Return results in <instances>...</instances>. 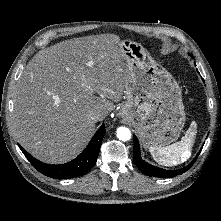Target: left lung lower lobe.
<instances>
[{"label": "left lung lower lobe", "instance_id": "left-lung-lower-lobe-1", "mask_svg": "<svg viewBox=\"0 0 221 221\" xmlns=\"http://www.w3.org/2000/svg\"><path fill=\"white\" fill-rule=\"evenodd\" d=\"M199 153L197 154L195 159L188 166H186L180 170H164V169L152 166L142 160V158L140 156L139 143H138L137 137L134 136V162H135L136 166L139 168V170L148 176L165 178V177H172L175 175L182 174V173L186 172L194 164Z\"/></svg>", "mask_w": 221, "mask_h": 221}]
</instances>
